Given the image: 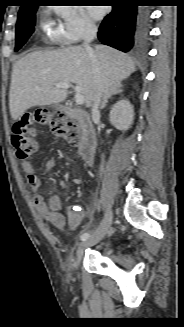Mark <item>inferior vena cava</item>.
Wrapping results in <instances>:
<instances>
[{
    "mask_svg": "<svg viewBox=\"0 0 184 327\" xmlns=\"http://www.w3.org/2000/svg\"><path fill=\"white\" fill-rule=\"evenodd\" d=\"M97 33V29L93 25H86L84 34H83V40H84V47L87 51L91 61H92V67H93V84H94V99L92 103V114H98L99 113V106L101 102V97L103 95V88L101 84V79L98 74V65L97 60L94 56V52L90 46V43L95 39Z\"/></svg>",
    "mask_w": 184,
    "mask_h": 327,
    "instance_id": "1",
    "label": "inferior vena cava"
}]
</instances>
